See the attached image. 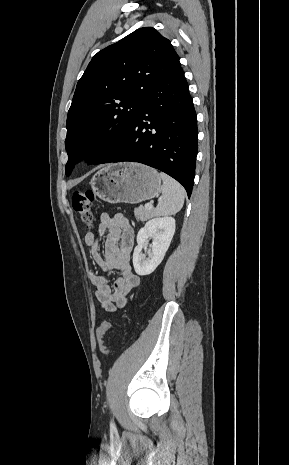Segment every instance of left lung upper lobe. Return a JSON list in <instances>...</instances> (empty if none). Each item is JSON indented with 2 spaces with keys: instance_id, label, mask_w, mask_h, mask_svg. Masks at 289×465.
<instances>
[{
  "instance_id": "obj_1",
  "label": "left lung upper lobe",
  "mask_w": 289,
  "mask_h": 465,
  "mask_svg": "<svg viewBox=\"0 0 289 465\" xmlns=\"http://www.w3.org/2000/svg\"><path fill=\"white\" fill-rule=\"evenodd\" d=\"M179 67L170 41L152 27L137 29L98 52L78 81L68 111L66 175L84 156L98 164L114 150L144 96Z\"/></svg>"
}]
</instances>
